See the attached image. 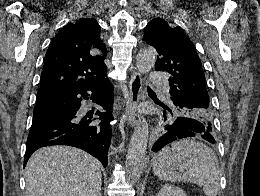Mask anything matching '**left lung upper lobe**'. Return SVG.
<instances>
[{
	"instance_id": "obj_1",
	"label": "left lung upper lobe",
	"mask_w": 260,
	"mask_h": 196,
	"mask_svg": "<svg viewBox=\"0 0 260 196\" xmlns=\"http://www.w3.org/2000/svg\"><path fill=\"white\" fill-rule=\"evenodd\" d=\"M143 41L158 52L155 69L171 76L172 106L168 108L161 105L164 117L155 130L154 138H160L169 123L179 118H190L213 126V109L202 63L184 31L164 19L154 18L146 26Z\"/></svg>"
}]
</instances>
